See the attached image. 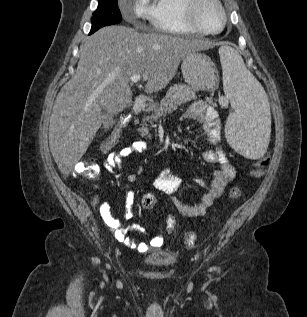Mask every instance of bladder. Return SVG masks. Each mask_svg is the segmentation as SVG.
<instances>
[{"label":"bladder","instance_id":"obj_1","mask_svg":"<svg viewBox=\"0 0 307 317\" xmlns=\"http://www.w3.org/2000/svg\"><path fill=\"white\" fill-rule=\"evenodd\" d=\"M175 260L173 255H152L144 259L146 264L153 267H168L174 264Z\"/></svg>","mask_w":307,"mask_h":317}]
</instances>
